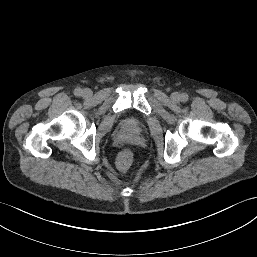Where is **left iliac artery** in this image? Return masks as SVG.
I'll return each mask as SVG.
<instances>
[{"label":"left iliac artery","mask_w":257,"mask_h":257,"mask_svg":"<svg viewBox=\"0 0 257 257\" xmlns=\"http://www.w3.org/2000/svg\"><path fill=\"white\" fill-rule=\"evenodd\" d=\"M181 101H183V102L188 101V95H187L186 93H183V94L181 95Z\"/></svg>","instance_id":"44dca946"}]
</instances>
